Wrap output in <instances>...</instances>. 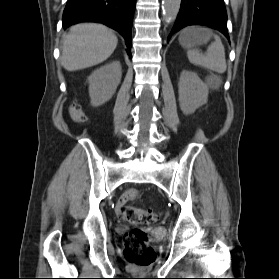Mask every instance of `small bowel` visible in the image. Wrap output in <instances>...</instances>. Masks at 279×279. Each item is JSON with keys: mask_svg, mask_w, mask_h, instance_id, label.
<instances>
[{"mask_svg": "<svg viewBox=\"0 0 279 279\" xmlns=\"http://www.w3.org/2000/svg\"><path fill=\"white\" fill-rule=\"evenodd\" d=\"M138 197V193L134 189H130L122 194V196L119 198V200L116 203V210L117 212L120 211V208L125 205L126 202L130 200H135Z\"/></svg>", "mask_w": 279, "mask_h": 279, "instance_id": "1", "label": "small bowel"}]
</instances>
